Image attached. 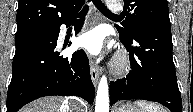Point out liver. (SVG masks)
Here are the masks:
<instances>
[{
	"label": "liver",
	"mask_w": 193,
	"mask_h": 112,
	"mask_svg": "<svg viewBox=\"0 0 193 112\" xmlns=\"http://www.w3.org/2000/svg\"><path fill=\"white\" fill-rule=\"evenodd\" d=\"M73 103L65 102L57 97H44L30 103L20 112H70Z\"/></svg>",
	"instance_id": "obj_1"
}]
</instances>
